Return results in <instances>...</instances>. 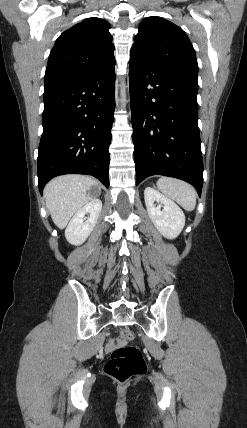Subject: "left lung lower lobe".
Segmentation results:
<instances>
[{
    "label": "left lung lower lobe",
    "instance_id": "0a47b994",
    "mask_svg": "<svg viewBox=\"0 0 247 428\" xmlns=\"http://www.w3.org/2000/svg\"><path fill=\"white\" fill-rule=\"evenodd\" d=\"M129 85L136 185L151 175H164L192 184L200 196L198 85L136 56L129 62Z\"/></svg>",
    "mask_w": 247,
    "mask_h": 428
}]
</instances>
